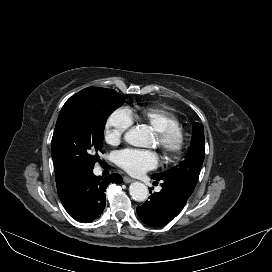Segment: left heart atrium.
I'll return each instance as SVG.
<instances>
[{"label":"left heart atrium","instance_id":"1","mask_svg":"<svg viewBox=\"0 0 272 272\" xmlns=\"http://www.w3.org/2000/svg\"><path fill=\"white\" fill-rule=\"evenodd\" d=\"M119 167L132 175H139L153 169L158 164V155L151 150L124 149L116 156Z\"/></svg>","mask_w":272,"mask_h":272}]
</instances>
